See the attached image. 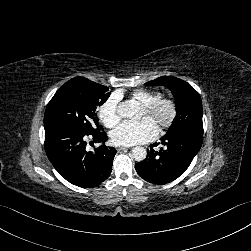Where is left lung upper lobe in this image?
Here are the masks:
<instances>
[{
	"mask_svg": "<svg viewBox=\"0 0 251 251\" xmlns=\"http://www.w3.org/2000/svg\"><path fill=\"white\" fill-rule=\"evenodd\" d=\"M146 85L165 86L175 98L177 115L165 136L178 132L203 135L201 97L189 83L176 77L162 76L147 82Z\"/></svg>",
	"mask_w": 251,
	"mask_h": 251,
	"instance_id": "obj_1",
	"label": "left lung upper lobe"
}]
</instances>
